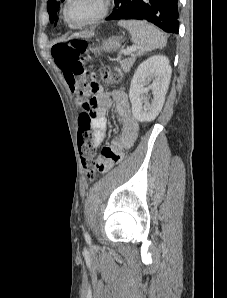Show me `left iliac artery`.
<instances>
[{
	"mask_svg": "<svg viewBox=\"0 0 227 298\" xmlns=\"http://www.w3.org/2000/svg\"><path fill=\"white\" fill-rule=\"evenodd\" d=\"M84 235H85L86 238H89V235H88L87 232H85Z\"/></svg>",
	"mask_w": 227,
	"mask_h": 298,
	"instance_id": "left-iliac-artery-1",
	"label": "left iliac artery"
}]
</instances>
